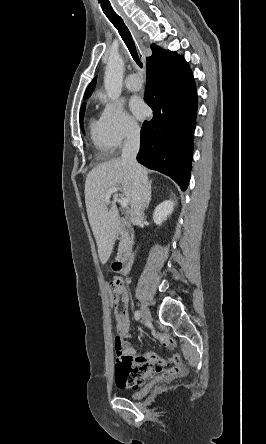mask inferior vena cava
I'll use <instances>...</instances> for the list:
<instances>
[{"label": "inferior vena cava", "mask_w": 266, "mask_h": 444, "mask_svg": "<svg viewBox=\"0 0 266 444\" xmlns=\"http://www.w3.org/2000/svg\"><path fill=\"white\" fill-rule=\"evenodd\" d=\"M140 147V129L131 126L127 132V138L122 149V159L129 164L134 176V190L131 204L130 217L133 223L141 220L148 204L150 183L142 166L137 162L136 156Z\"/></svg>", "instance_id": "602c4592"}]
</instances>
